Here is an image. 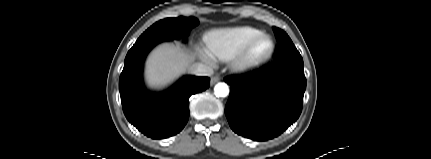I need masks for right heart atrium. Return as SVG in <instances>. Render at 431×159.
<instances>
[{
	"mask_svg": "<svg viewBox=\"0 0 431 159\" xmlns=\"http://www.w3.org/2000/svg\"><path fill=\"white\" fill-rule=\"evenodd\" d=\"M197 50H198V53H199L200 57L203 60H205L207 62H210V63L214 62L215 57L210 53V51L207 48H205V47H198Z\"/></svg>",
	"mask_w": 431,
	"mask_h": 159,
	"instance_id": "1",
	"label": "right heart atrium"
}]
</instances>
